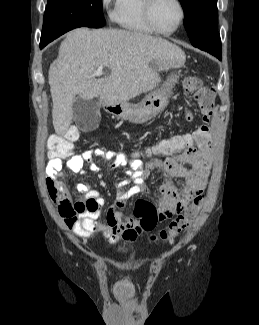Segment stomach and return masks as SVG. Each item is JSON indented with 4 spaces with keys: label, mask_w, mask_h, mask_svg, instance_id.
I'll return each mask as SVG.
<instances>
[{
    "label": "stomach",
    "mask_w": 259,
    "mask_h": 325,
    "mask_svg": "<svg viewBox=\"0 0 259 325\" xmlns=\"http://www.w3.org/2000/svg\"><path fill=\"white\" fill-rule=\"evenodd\" d=\"M177 81V75L171 73L163 85L148 94L137 104L117 102L105 105V110L119 118L133 123H144L163 111L169 103L172 89Z\"/></svg>",
    "instance_id": "obj_1"
}]
</instances>
